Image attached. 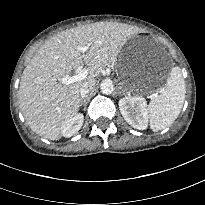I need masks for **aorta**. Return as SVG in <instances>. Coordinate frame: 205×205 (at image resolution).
Returning <instances> with one entry per match:
<instances>
[{
    "mask_svg": "<svg viewBox=\"0 0 205 205\" xmlns=\"http://www.w3.org/2000/svg\"><path fill=\"white\" fill-rule=\"evenodd\" d=\"M100 90L103 94L109 95L114 91V85L111 80L105 79L100 84Z\"/></svg>",
    "mask_w": 205,
    "mask_h": 205,
    "instance_id": "obj_1",
    "label": "aorta"
}]
</instances>
